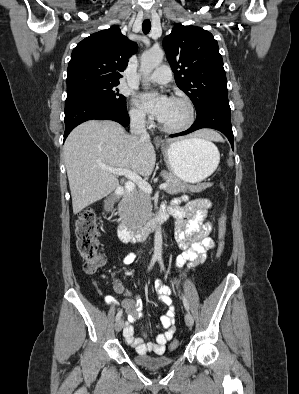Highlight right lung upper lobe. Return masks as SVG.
<instances>
[{
    "label": "right lung upper lobe",
    "instance_id": "1",
    "mask_svg": "<svg viewBox=\"0 0 299 394\" xmlns=\"http://www.w3.org/2000/svg\"><path fill=\"white\" fill-rule=\"evenodd\" d=\"M138 46L117 26L101 30L73 49L67 70V88L92 82H119L120 72Z\"/></svg>",
    "mask_w": 299,
    "mask_h": 394
}]
</instances>
